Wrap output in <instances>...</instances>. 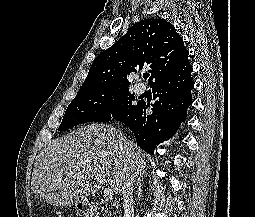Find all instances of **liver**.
Segmentation results:
<instances>
[{
  "label": "liver",
  "mask_w": 255,
  "mask_h": 217,
  "mask_svg": "<svg viewBox=\"0 0 255 217\" xmlns=\"http://www.w3.org/2000/svg\"><path fill=\"white\" fill-rule=\"evenodd\" d=\"M146 154L121 131L105 124H90L46 146L35 159L31 188L35 197L53 206L84 202L101 176L116 195L125 173H145ZM67 172H71L70 175Z\"/></svg>",
  "instance_id": "liver-1"
}]
</instances>
